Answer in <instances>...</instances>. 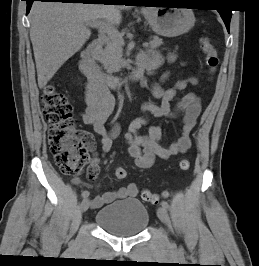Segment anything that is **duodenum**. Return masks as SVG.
<instances>
[{
	"label": "duodenum",
	"mask_w": 259,
	"mask_h": 266,
	"mask_svg": "<svg viewBox=\"0 0 259 266\" xmlns=\"http://www.w3.org/2000/svg\"><path fill=\"white\" fill-rule=\"evenodd\" d=\"M106 40V35L100 34L98 38L90 43L82 53V67L87 74L89 81L99 87L105 88H117L127 82H139L146 69V61L139 57L137 58L136 68L129 74L109 75L102 70L98 64L97 58Z\"/></svg>",
	"instance_id": "410a0bca"
}]
</instances>
